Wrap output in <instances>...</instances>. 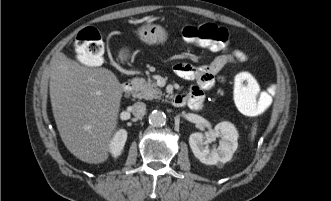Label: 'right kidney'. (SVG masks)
Here are the masks:
<instances>
[{"label":"right kidney","instance_id":"right-kidney-1","mask_svg":"<svg viewBox=\"0 0 331 201\" xmlns=\"http://www.w3.org/2000/svg\"><path fill=\"white\" fill-rule=\"evenodd\" d=\"M126 139L127 132L124 129H120L116 132L110 143V151L114 157H117L121 154Z\"/></svg>","mask_w":331,"mask_h":201}]
</instances>
